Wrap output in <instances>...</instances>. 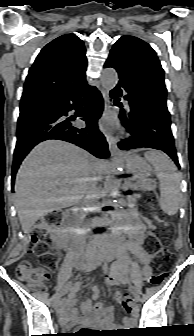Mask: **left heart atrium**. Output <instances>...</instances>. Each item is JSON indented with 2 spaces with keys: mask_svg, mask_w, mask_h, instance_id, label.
<instances>
[{
  "mask_svg": "<svg viewBox=\"0 0 194 336\" xmlns=\"http://www.w3.org/2000/svg\"><path fill=\"white\" fill-rule=\"evenodd\" d=\"M102 124H103V126H104L105 128L110 129V128H112V127L115 125V122H114L113 119L107 117V118H105V119L103 120V123H102Z\"/></svg>",
  "mask_w": 194,
  "mask_h": 336,
  "instance_id": "obj_1",
  "label": "left heart atrium"
}]
</instances>
